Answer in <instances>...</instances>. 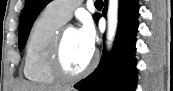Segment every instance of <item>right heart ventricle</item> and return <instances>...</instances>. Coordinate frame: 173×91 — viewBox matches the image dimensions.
I'll list each match as a JSON object with an SVG mask.
<instances>
[{
	"mask_svg": "<svg viewBox=\"0 0 173 91\" xmlns=\"http://www.w3.org/2000/svg\"><path fill=\"white\" fill-rule=\"evenodd\" d=\"M62 22L49 9H46L34 22L27 40L23 72L24 76L37 84L52 85L57 79L47 68V55L50 45L63 26Z\"/></svg>",
	"mask_w": 173,
	"mask_h": 91,
	"instance_id": "1",
	"label": "right heart ventricle"
}]
</instances>
